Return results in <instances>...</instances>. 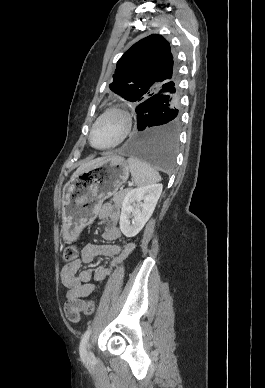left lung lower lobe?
<instances>
[{"label": "left lung lower lobe", "instance_id": "0a47b994", "mask_svg": "<svg viewBox=\"0 0 265 388\" xmlns=\"http://www.w3.org/2000/svg\"><path fill=\"white\" fill-rule=\"evenodd\" d=\"M179 98L178 82H172L152 100L136 107L137 131L125 145L127 154L160 170L173 168L180 124Z\"/></svg>", "mask_w": 265, "mask_h": 388}]
</instances>
